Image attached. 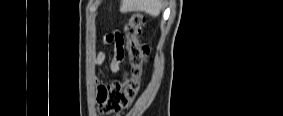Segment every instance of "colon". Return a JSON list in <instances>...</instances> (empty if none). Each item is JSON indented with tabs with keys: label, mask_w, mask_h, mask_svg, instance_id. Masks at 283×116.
<instances>
[{
	"label": "colon",
	"mask_w": 283,
	"mask_h": 116,
	"mask_svg": "<svg viewBox=\"0 0 283 116\" xmlns=\"http://www.w3.org/2000/svg\"><path fill=\"white\" fill-rule=\"evenodd\" d=\"M143 23V14L133 13L124 25L123 35L118 33L124 52L129 59L130 73L122 81L98 87L97 103L100 114L111 115L126 109L137 95L147 56L145 46L139 41Z\"/></svg>",
	"instance_id": "1"
}]
</instances>
